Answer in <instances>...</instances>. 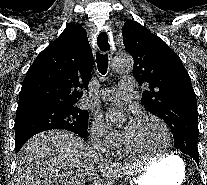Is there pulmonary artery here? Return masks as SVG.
<instances>
[{"label": "pulmonary artery", "instance_id": "pulmonary-artery-1", "mask_svg": "<svg viewBox=\"0 0 207 185\" xmlns=\"http://www.w3.org/2000/svg\"><path fill=\"white\" fill-rule=\"evenodd\" d=\"M119 88H106L103 89L100 93V96L103 100H118L126 96L130 91H135V81H120Z\"/></svg>", "mask_w": 207, "mask_h": 185}]
</instances>
